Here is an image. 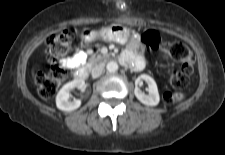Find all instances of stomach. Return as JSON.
Here are the masks:
<instances>
[{
  "mask_svg": "<svg viewBox=\"0 0 225 155\" xmlns=\"http://www.w3.org/2000/svg\"><path fill=\"white\" fill-rule=\"evenodd\" d=\"M129 37V30L117 24L104 28L100 32H85L83 35V38L86 41H93L97 38H102L105 41L116 42L119 44H125L129 40Z\"/></svg>",
  "mask_w": 225,
  "mask_h": 155,
  "instance_id": "1",
  "label": "stomach"
}]
</instances>
